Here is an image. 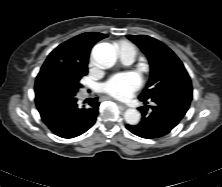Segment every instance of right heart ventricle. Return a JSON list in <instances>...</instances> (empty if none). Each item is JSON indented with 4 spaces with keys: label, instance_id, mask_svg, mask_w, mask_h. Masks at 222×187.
Listing matches in <instances>:
<instances>
[{
    "label": "right heart ventricle",
    "instance_id": "e07e8e85",
    "mask_svg": "<svg viewBox=\"0 0 222 187\" xmlns=\"http://www.w3.org/2000/svg\"><path fill=\"white\" fill-rule=\"evenodd\" d=\"M127 45H129V44H122L121 47H123V46H127Z\"/></svg>",
    "mask_w": 222,
    "mask_h": 187
}]
</instances>
